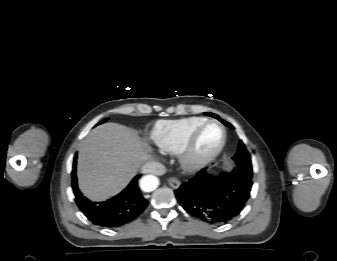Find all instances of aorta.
<instances>
[{"instance_id":"1","label":"aorta","mask_w":337,"mask_h":261,"mask_svg":"<svg viewBox=\"0 0 337 261\" xmlns=\"http://www.w3.org/2000/svg\"><path fill=\"white\" fill-rule=\"evenodd\" d=\"M159 185V180L153 175L144 176L140 181V187L144 192H151Z\"/></svg>"}]
</instances>
